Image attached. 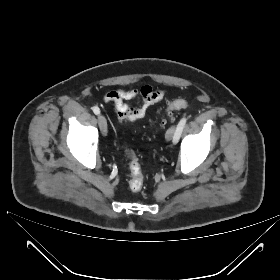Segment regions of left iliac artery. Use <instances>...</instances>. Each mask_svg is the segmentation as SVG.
<instances>
[{
    "mask_svg": "<svg viewBox=\"0 0 280 280\" xmlns=\"http://www.w3.org/2000/svg\"><path fill=\"white\" fill-rule=\"evenodd\" d=\"M186 121H187L186 118H182L179 121V123L177 125V128H176V132H175L174 138H173V143L174 144L178 142V140H179V138L181 136L182 130H183L185 124H186Z\"/></svg>",
    "mask_w": 280,
    "mask_h": 280,
    "instance_id": "44dca946",
    "label": "left iliac artery"
}]
</instances>
